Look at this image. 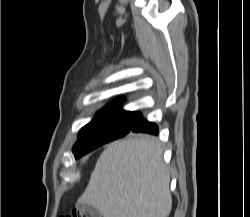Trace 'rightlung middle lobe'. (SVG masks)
Returning a JSON list of instances; mask_svg holds the SVG:
<instances>
[{"instance_id": "obj_1", "label": "right lung middle lobe", "mask_w": 250, "mask_h": 217, "mask_svg": "<svg viewBox=\"0 0 250 217\" xmlns=\"http://www.w3.org/2000/svg\"><path fill=\"white\" fill-rule=\"evenodd\" d=\"M140 113L124 110H110L99 113L90 123L84 126L73 147L76 158L93 149L125 136L131 132Z\"/></svg>"}]
</instances>
